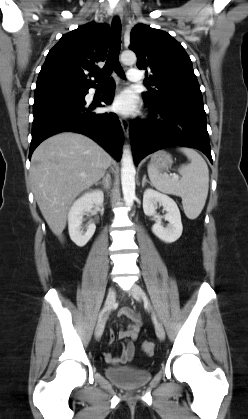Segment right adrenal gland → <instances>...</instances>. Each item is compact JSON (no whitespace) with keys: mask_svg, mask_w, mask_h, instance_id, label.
I'll list each match as a JSON object with an SVG mask.
<instances>
[{"mask_svg":"<svg viewBox=\"0 0 248 419\" xmlns=\"http://www.w3.org/2000/svg\"><path fill=\"white\" fill-rule=\"evenodd\" d=\"M101 184L103 185L105 190H108L110 188L111 184V176L109 173L106 174V176L103 178L102 181L96 182L95 185Z\"/></svg>","mask_w":248,"mask_h":419,"instance_id":"2a0ac1e0","label":"right adrenal gland"}]
</instances>
